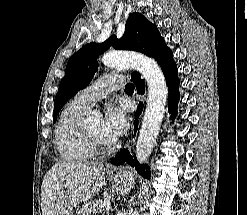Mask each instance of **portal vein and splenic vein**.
<instances>
[{"label": "portal vein and splenic vein", "mask_w": 247, "mask_h": 215, "mask_svg": "<svg viewBox=\"0 0 247 215\" xmlns=\"http://www.w3.org/2000/svg\"><path fill=\"white\" fill-rule=\"evenodd\" d=\"M106 206H110V203L106 201L102 202L101 207H106Z\"/></svg>", "instance_id": "obj_1"}]
</instances>
